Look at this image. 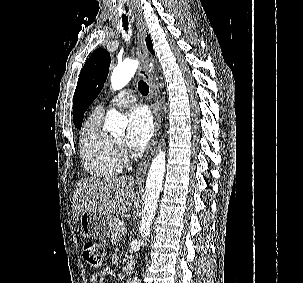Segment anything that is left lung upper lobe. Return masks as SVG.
I'll return each mask as SVG.
<instances>
[{
	"mask_svg": "<svg viewBox=\"0 0 303 283\" xmlns=\"http://www.w3.org/2000/svg\"><path fill=\"white\" fill-rule=\"evenodd\" d=\"M146 44L149 51L154 53L149 37ZM110 61V54L99 48L91 54L81 70L73 101V120L77 128L81 127L85 111L103 88Z\"/></svg>",
	"mask_w": 303,
	"mask_h": 283,
	"instance_id": "obj_1",
	"label": "left lung upper lobe"
}]
</instances>
